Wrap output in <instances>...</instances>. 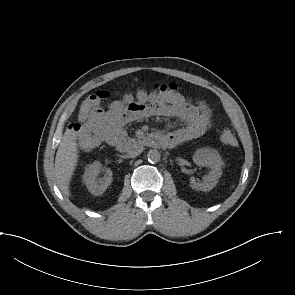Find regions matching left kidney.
<instances>
[{
  "label": "left kidney",
  "instance_id": "5707ae66",
  "mask_svg": "<svg viewBox=\"0 0 295 295\" xmlns=\"http://www.w3.org/2000/svg\"><path fill=\"white\" fill-rule=\"evenodd\" d=\"M193 161L198 166L209 167L211 170L208 175L203 177V182H196L194 177L190 179V186L193 189L200 191H210L218 182L222 175V160L218 152L214 149L202 148L198 149L194 156Z\"/></svg>",
  "mask_w": 295,
  "mask_h": 295
}]
</instances>
